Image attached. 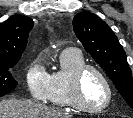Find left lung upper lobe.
I'll use <instances>...</instances> for the list:
<instances>
[{"label": "left lung upper lobe", "instance_id": "left-lung-upper-lobe-1", "mask_svg": "<svg viewBox=\"0 0 133 118\" xmlns=\"http://www.w3.org/2000/svg\"><path fill=\"white\" fill-rule=\"evenodd\" d=\"M73 28L85 50L112 79L133 108V79L126 54L111 28L97 15L81 12L74 16Z\"/></svg>", "mask_w": 133, "mask_h": 118}]
</instances>
